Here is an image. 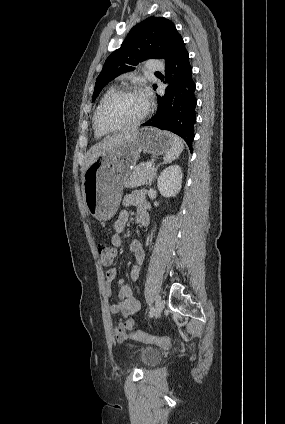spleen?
Here are the masks:
<instances>
[{"label":"spleen","instance_id":"spleen-1","mask_svg":"<svg viewBox=\"0 0 285 424\" xmlns=\"http://www.w3.org/2000/svg\"><path fill=\"white\" fill-rule=\"evenodd\" d=\"M183 149H184L183 140L178 136H174L173 145H172L171 149L169 150V152L164 157V161L166 163L173 161L174 159H176L181 154Z\"/></svg>","mask_w":285,"mask_h":424}]
</instances>
